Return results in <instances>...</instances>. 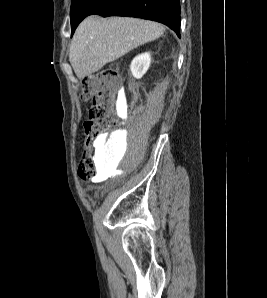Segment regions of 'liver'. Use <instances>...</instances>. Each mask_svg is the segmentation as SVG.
Wrapping results in <instances>:
<instances>
[{"label":"liver","instance_id":"liver-1","mask_svg":"<svg viewBox=\"0 0 267 298\" xmlns=\"http://www.w3.org/2000/svg\"><path fill=\"white\" fill-rule=\"evenodd\" d=\"M163 33L164 27L156 22L128 17L105 19L91 15L75 31L69 61L76 76L83 79Z\"/></svg>","mask_w":267,"mask_h":298}]
</instances>
